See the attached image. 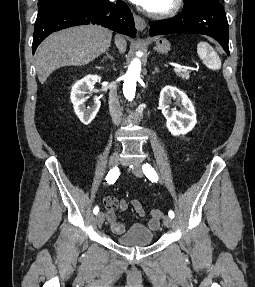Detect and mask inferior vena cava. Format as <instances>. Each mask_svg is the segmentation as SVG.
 Listing matches in <instances>:
<instances>
[{
	"label": "inferior vena cava",
	"mask_w": 255,
	"mask_h": 287,
	"mask_svg": "<svg viewBox=\"0 0 255 287\" xmlns=\"http://www.w3.org/2000/svg\"><path fill=\"white\" fill-rule=\"evenodd\" d=\"M109 112L114 124H119L122 120V110L120 108L119 100L117 98L116 84H110L109 92Z\"/></svg>",
	"instance_id": "602c4592"
}]
</instances>
